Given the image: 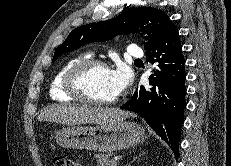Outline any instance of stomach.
Here are the masks:
<instances>
[{"label":"stomach","mask_w":231,"mask_h":166,"mask_svg":"<svg viewBox=\"0 0 231 166\" xmlns=\"http://www.w3.org/2000/svg\"><path fill=\"white\" fill-rule=\"evenodd\" d=\"M56 143L69 149L113 152L128 149L146 139L144 129L126 119L98 126H72L56 132Z\"/></svg>","instance_id":"stomach-1"}]
</instances>
